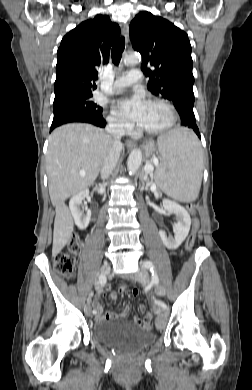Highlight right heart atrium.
I'll use <instances>...</instances> for the list:
<instances>
[{"label": "right heart atrium", "instance_id": "d8ad5b80", "mask_svg": "<svg viewBox=\"0 0 252 390\" xmlns=\"http://www.w3.org/2000/svg\"><path fill=\"white\" fill-rule=\"evenodd\" d=\"M110 127L120 131V132H128L131 130V125L121 116H119L115 112H111V114L107 118Z\"/></svg>", "mask_w": 252, "mask_h": 390}]
</instances>
